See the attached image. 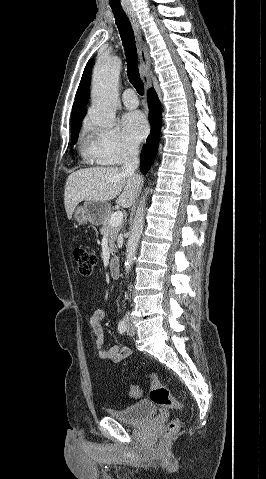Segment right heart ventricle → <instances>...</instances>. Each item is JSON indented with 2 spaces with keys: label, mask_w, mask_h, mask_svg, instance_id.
Here are the masks:
<instances>
[{
  "label": "right heart ventricle",
  "mask_w": 266,
  "mask_h": 479,
  "mask_svg": "<svg viewBox=\"0 0 266 479\" xmlns=\"http://www.w3.org/2000/svg\"><path fill=\"white\" fill-rule=\"evenodd\" d=\"M82 156L88 161H94L91 153L90 141L83 139L80 146Z\"/></svg>",
  "instance_id": "1"
}]
</instances>
